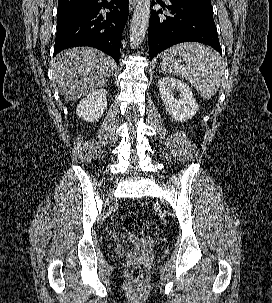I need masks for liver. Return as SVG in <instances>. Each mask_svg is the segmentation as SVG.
<instances>
[{
  "label": "liver",
  "instance_id": "liver-1",
  "mask_svg": "<svg viewBox=\"0 0 272 303\" xmlns=\"http://www.w3.org/2000/svg\"><path fill=\"white\" fill-rule=\"evenodd\" d=\"M114 68V60L98 49L71 48L56 55L53 79L61 95L74 101L104 86Z\"/></svg>",
  "mask_w": 272,
  "mask_h": 303
}]
</instances>
